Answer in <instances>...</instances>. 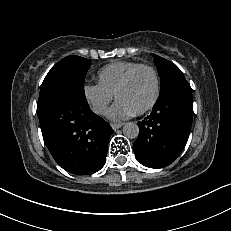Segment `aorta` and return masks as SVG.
Wrapping results in <instances>:
<instances>
[{
    "label": "aorta",
    "instance_id": "obj_1",
    "mask_svg": "<svg viewBox=\"0 0 231 231\" xmlns=\"http://www.w3.org/2000/svg\"><path fill=\"white\" fill-rule=\"evenodd\" d=\"M123 134L129 139L137 138L139 134L138 125L134 122L125 123L123 126Z\"/></svg>",
    "mask_w": 231,
    "mask_h": 231
}]
</instances>
